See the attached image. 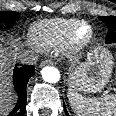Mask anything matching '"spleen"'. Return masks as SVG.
<instances>
[{"mask_svg": "<svg viewBox=\"0 0 116 116\" xmlns=\"http://www.w3.org/2000/svg\"><path fill=\"white\" fill-rule=\"evenodd\" d=\"M68 99L77 116H116V94L90 98L70 88Z\"/></svg>", "mask_w": 116, "mask_h": 116, "instance_id": "1", "label": "spleen"}]
</instances>
